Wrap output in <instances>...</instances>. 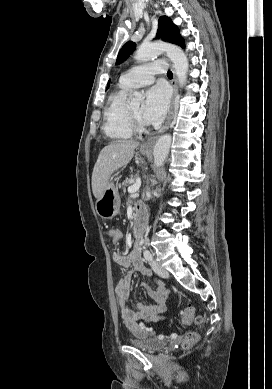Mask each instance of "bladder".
<instances>
[{"mask_svg": "<svg viewBox=\"0 0 272 389\" xmlns=\"http://www.w3.org/2000/svg\"><path fill=\"white\" fill-rule=\"evenodd\" d=\"M129 344L145 352H157L164 348L165 343L157 338H144L140 340H129Z\"/></svg>", "mask_w": 272, "mask_h": 389, "instance_id": "bladder-1", "label": "bladder"}]
</instances>
